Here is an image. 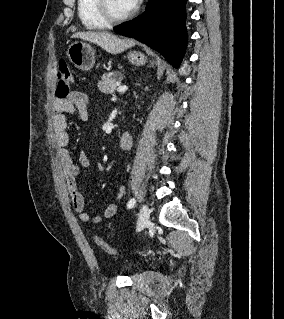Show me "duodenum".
<instances>
[{"instance_id": "410a0bca", "label": "duodenum", "mask_w": 284, "mask_h": 319, "mask_svg": "<svg viewBox=\"0 0 284 319\" xmlns=\"http://www.w3.org/2000/svg\"><path fill=\"white\" fill-rule=\"evenodd\" d=\"M133 144V135L129 132L124 133L119 141L118 147L121 150H129Z\"/></svg>"}]
</instances>
